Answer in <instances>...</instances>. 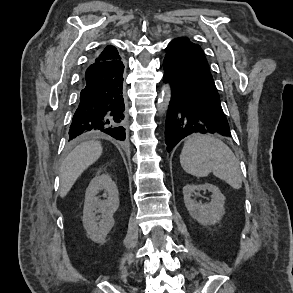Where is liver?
Instances as JSON below:
<instances>
[{"instance_id":"obj_1","label":"liver","mask_w":293,"mask_h":293,"mask_svg":"<svg viewBox=\"0 0 293 293\" xmlns=\"http://www.w3.org/2000/svg\"><path fill=\"white\" fill-rule=\"evenodd\" d=\"M99 141H87L76 146L60 167V196L64 198L79 176L101 156Z\"/></svg>"}]
</instances>
